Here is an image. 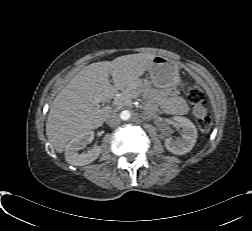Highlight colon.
Here are the masks:
<instances>
[{
	"label": "colon",
	"instance_id": "obj_1",
	"mask_svg": "<svg viewBox=\"0 0 252 231\" xmlns=\"http://www.w3.org/2000/svg\"><path fill=\"white\" fill-rule=\"evenodd\" d=\"M186 99L190 105L196 106L205 103L206 98L202 90L196 86H189L186 90ZM212 127L211 118L205 116L198 121V128L202 134H207Z\"/></svg>",
	"mask_w": 252,
	"mask_h": 231
}]
</instances>
